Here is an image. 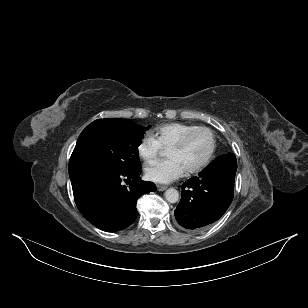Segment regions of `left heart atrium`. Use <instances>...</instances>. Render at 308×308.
<instances>
[{"instance_id":"left-heart-atrium-1","label":"left heart atrium","mask_w":308,"mask_h":308,"mask_svg":"<svg viewBox=\"0 0 308 308\" xmlns=\"http://www.w3.org/2000/svg\"><path fill=\"white\" fill-rule=\"evenodd\" d=\"M185 172L183 165L175 158L158 162L146 168V177L156 183H169Z\"/></svg>"}]
</instances>
